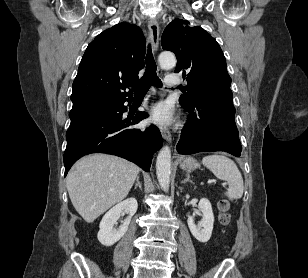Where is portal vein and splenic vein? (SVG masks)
I'll return each instance as SVG.
<instances>
[{"instance_id":"18ae733b","label":"portal vein and splenic vein","mask_w":308,"mask_h":278,"mask_svg":"<svg viewBox=\"0 0 308 278\" xmlns=\"http://www.w3.org/2000/svg\"><path fill=\"white\" fill-rule=\"evenodd\" d=\"M212 182H216V180H214V179H209L208 180V183H212Z\"/></svg>"}]
</instances>
